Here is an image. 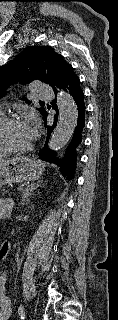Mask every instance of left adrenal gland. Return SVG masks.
<instances>
[{
  "label": "left adrenal gland",
  "instance_id": "obj_1",
  "mask_svg": "<svg viewBox=\"0 0 118 320\" xmlns=\"http://www.w3.org/2000/svg\"><path fill=\"white\" fill-rule=\"evenodd\" d=\"M42 184V181H38L37 183H32L28 185L23 191H22V204L26 203L29 200V197H31L34 190H36L38 187H40Z\"/></svg>",
  "mask_w": 118,
  "mask_h": 320
}]
</instances>
